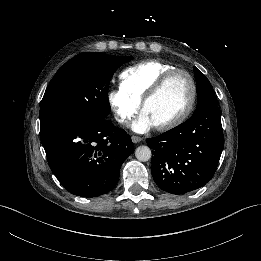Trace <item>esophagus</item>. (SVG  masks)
Segmentation results:
<instances>
[{"label":"esophagus","mask_w":261,"mask_h":261,"mask_svg":"<svg viewBox=\"0 0 261 261\" xmlns=\"http://www.w3.org/2000/svg\"><path fill=\"white\" fill-rule=\"evenodd\" d=\"M131 140L133 141V143H138V142L142 141L143 139H142V137L133 135V136L131 137Z\"/></svg>","instance_id":"1"}]
</instances>
